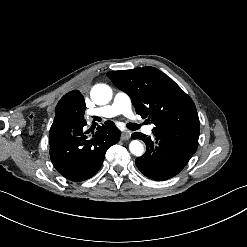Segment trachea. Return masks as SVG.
I'll list each match as a JSON object with an SVG mask.
<instances>
[{
    "label": "trachea",
    "mask_w": 247,
    "mask_h": 247,
    "mask_svg": "<svg viewBox=\"0 0 247 247\" xmlns=\"http://www.w3.org/2000/svg\"><path fill=\"white\" fill-rule=\"evenodd\" d=\"M126 126L129 130H133V131L139 129V125L135 123H128Z\"/></svg>",
    "instance_id": "obj_1"
}]
</instances>
